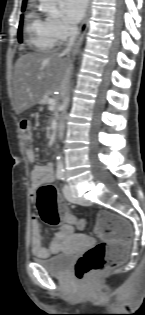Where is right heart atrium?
Masks as SVG:
<instances>
[{"label":"right heart atrium","instance_id":"right-heart-atrium-1","mask_svg":"<svg viewBox=\"0 0 145 315\" xmlns=\"http://www.w3.org/2000/svg\"><path fill=\"white\" fill-rule=\"evenodd\" d=\"M46 19L49 29L57 41H63L74 33V27L62 16L50 15Z\"/></svg>","mask_w":145,"mask_h":315}]
</instances>
